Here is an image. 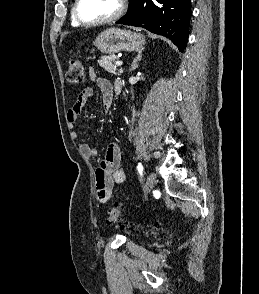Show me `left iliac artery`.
Segmentation results:
<instances>
[{"label":"left iliac artery","mask_w":259,"mask_h":294,"mask_svg":"<svg viewBox=\"0 0 259 294\" xmlns=\"http://www.w3.org/2000/svg\"><path fill=\"white\" fill-rule=\"evenodd\" d=\"M137 170L141 176H143V166L141 163H138Z\"/></svg>","instance_id":"1"}]
</instances>
